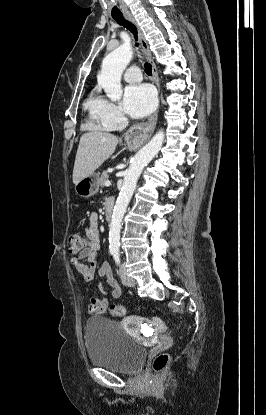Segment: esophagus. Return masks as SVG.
<instances>
[{"mask_svg": "<svg viewBox=\"0 0 266 415\" xmlns=\"http://www.w3.org/2000/svg\"><path fill=\"white\" fill-rule=\"evenodd\" d=\"M125 18L128 21H130L132 24H134L135 27L138 30L140 43H141V46L143 48L146 59L148 60V62L152 66V79H153V82L155 83V85L158 89V94H159L160 93V83H159L158 71H157L156 65L153 61V57H152L151 50L149 48V44H148L147 40L145 39L144 34H143L141 28L139 27L136 19L133 17V15L129 14V13L125 14ZM157 116H158V109L153 113V115L148 119L147 122L139 123V124H136V125H133L132 127H130L129 130L125 134V139L127 140V142L131 146H140L143 143H145L151 137V135H152V133L155 129V126H156V123H157Z\"/></svg>", "mask_w": 266, "mask_h": 415, "instance_id": "esophagus-1", "label": "esophagus"}]
</instances>
